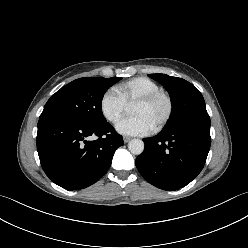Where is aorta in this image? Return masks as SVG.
Listing matches in <instances>:
<instances>
[{"mask_svg": "<svg viewBox=\"0 0 248 248\" xmlns=\"http://www.w3.org/2000/svg\"><path fill=\"white\" fill-rule=\"evenodd\" d=\"M128 149L132 154L140 155L144 151V142L140 139H132L128 144Z\"/></svg>", "mask_w": 248, "mask_h": 248, "instance_id": "1", "label": "aorta"}]
</instances>
